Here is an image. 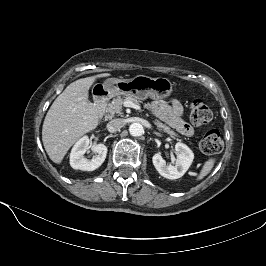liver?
Instances as JSON below:
<instances>
[{
	"label": "liver",
	"instance_id": "liver-1",
	"mask_svg": "<svg viewBox=\"0 0 266 266\" xmlns=\"http://www.w3.org/2000/svg\"><path fill=\"white\" fill-rule=\"evenodd\" d=\"M103 73L69 84L54 100L44 119L42 141L49 158L60 164L70 147L99 123V113L89 101V89Z\"/></svg>",
	"mask_w": 266,
	"mask_h": 266
}]
</instances>
